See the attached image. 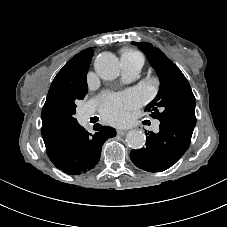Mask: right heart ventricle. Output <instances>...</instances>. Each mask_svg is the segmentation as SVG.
<instances>
[{"mask_svg": "<svg viewBox=\"0 0 227 227\" xmlns=\"http://www.w3.org/2000/svg\"><path fill=\"white\" fill-rule=\"evenodd\" d=\"M122 58H126V59H129V60H132V61L140 62L142 65L144 63V56L140 52L133 50V49L123 50Z\"/></svg>", "mask_w": 227, "mask_h": 227, "instance_id": "1", "label": "right heart ventricle"}]
</instances>
